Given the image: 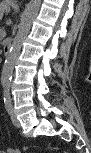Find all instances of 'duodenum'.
Returning a JSON list of instances; mask_svg holds the SVG:
<instances>
[{
	"instance_id": "410a0bca",
	"label": "duodenum",
	"mask_w": 91,
	"mask_h": 153,
	"mask_svg": "<svg viewBox=\"0 0 91 153\" xmlns=\"http://www.w3.org/2000/svg\"><path fill=\"white\" fill-rule=\"evenodd\" d=\"M11 47H12L11 38H5L3 40V52H4L5 56H7L9 54Z\"/></svg>"
}]
</instances>
